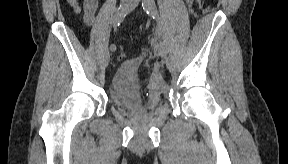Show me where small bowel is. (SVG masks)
I'll return each instance as SVG.
<instances>
[{"instance_id":"1","label":"small bowel","mask_w":288,"mask_h":164,"mask_svg":"<svg viewBox=\"0 0 288 164\" xmlns=\"http://www.w3.org/2000/svg\"><path fill=\"white\" fill-rule=\"evenodd\" d=\"M98 7L97 0H85L83 5V18L87 25H91L94 21L95 13ZM75 13L79 14L81 8L77 6L74 9Z\"/></svg>"}]
</instances>
